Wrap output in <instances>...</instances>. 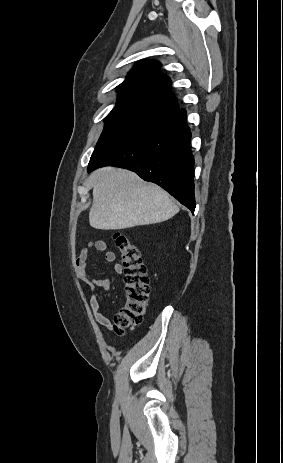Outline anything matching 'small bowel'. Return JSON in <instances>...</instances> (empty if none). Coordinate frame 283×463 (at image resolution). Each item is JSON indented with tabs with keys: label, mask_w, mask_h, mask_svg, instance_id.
<instances>
[{
	"label": "small bowel",
	"mask_w": 283,
	"mask_h": 463,
	"mask_svg": "<svg viewBox=\"0 0 283 463\" xmlns=\"http://www.w3.org/2000/svg\"><path fill=\"white\" fill-rule=\"evenodd\" d=\"M94 247L99 252L105 253V260L109 263H114V271L118 274L122 273L123 267L116 261V255L114 252L108 250V244L104 240H97L94 243H90L87 247L81 249L77 255L74 263L77 277L87 286L90 293V308L93 312L95 321L104 328L111 327V320L100 312V300L96 292V288H100L103 291H107L110 286V282L106 278H92L87 273L89 248Z\"/></svg>",
	"instance_id": "obj_1"
}]
</instances>
